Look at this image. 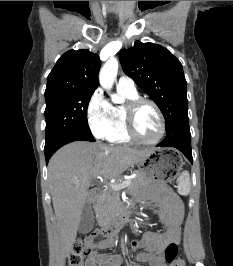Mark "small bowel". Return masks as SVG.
<instances>
[{"label": "small bowel", "mask_w": 233, "mask_h": 266, "mask_svg": "<svg viewBox=\"0 0 233 266\" xmlns=\"http://www.w3.org/2000/svg\"><path fill=\"white\" fill-rule=\"evenodd\" d=\"M156 205L155 213L161 218L165 229L162 232H145L141 239L131 244L133 250H142L135 258L133 266L148 262L150 266H167L162 253L169 244H178L181 238L183 205L179 197L167 186H161L149 197ZM115 240L93 241L87 255L85 266H122L119 255L98 253L100 249L113 247Z\"/></svg>", "instance_id": "obj_1"}]
</instances>
